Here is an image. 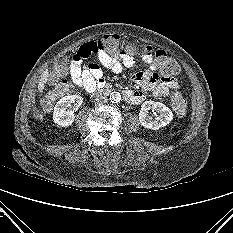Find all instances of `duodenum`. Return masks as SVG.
Here are the masks:
<instances>
[{
	"label": "duodenum",
	"mask_w": 233,
	"mask_h": 233,
	"mask_svg": "<svg viewBox=\"0 0 233 233\" xmlns=\"http://www.w3.org/2000/svg\"><path fill=\"white\" fill-rule=\"evenodd\" d=\"M112 88L109 87V86H102V87H99L97 90H96V94L99 95V96H105V95H108L112 92Z\"/></svg>",
	"instance_id": "1"
}]
</instances>
